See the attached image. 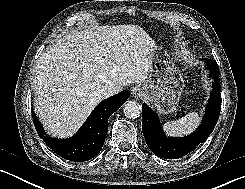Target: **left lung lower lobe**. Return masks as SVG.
<instances>
[{
    "label": "left lung lower lobe",
    "mask_w": 245,
    "mask_h": 189,
    "mask_svg": "<svg viewBox=\"0 0 245 189\" xmlns=\"http://www.w3.org/2000/svg\"><path fill=\"white\" fill-rule=\"evenodd\" d=\"M206 66L213 77V91L206 106V113L200 126L183 138L166 137L158 115L146 104H142V132L150 150L164 159H178L205 142L216 125L221 110L219 67L216 61L206 60Z\"/></svg>",
    "instance_id": "0a47b994"
}]
</instances>
